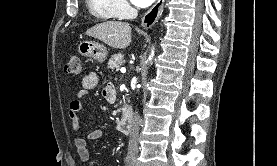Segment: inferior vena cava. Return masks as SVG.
I'll list each match as a JSON object with an SVG mask.
<instances>
[{
    "label": "inferior vena cava",
    "mask_w": 277,
    "mask_h": 166,
    "mask_svg": "<svg viewBox=\"0 0 277 166\" xmlns=\"http://www.w3.org/2000/svg\"><path fill=\"white\" fill-rule=\"evenodd\" d=\"M140 117L138 112L135 113L131 134L129 137L128 157L132 158L138 154V135H139Z\"/></svg>",
    "instance_id": "1"
}]
</instances>
